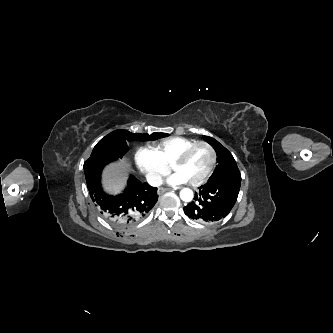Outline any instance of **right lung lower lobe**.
Wrapping results in <instances>:
<instances>
[{"label": "right lung lower lobe", "instance_id": "1", "mask_svg": "<svg viewBox=\"0 0 333 333\" xmlns=\"http://www.w3.org/2000/svg\"><path fill=\"white\" fill-rule=\"evenodd\" d=\"M117 158L90 157L85 161L83 168L90 197L98 211L116 226L126 227L146 216L157 202L158 195L157 188L140 182L133 175L130 176L127 188L122 194L112 196L104 193L101 187V171L106 164Z\"/></svg>", "mask_w": 333, "mask_h": 333}]
</instances>
